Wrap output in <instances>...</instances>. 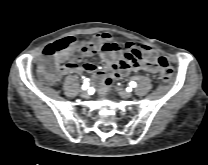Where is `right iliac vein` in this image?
Segmentation results:
<instances>
[{
    "mask_svg": "<svg viewBox=\"0 0 208 165\" xmlns=\"http://www.w3.org/2000/svg\"><path fill=\"white\" fill-rule=\"evenodd\" d=\"M88 95H89V93L86 90L81 92V96L84 97V98L88 97Z\"/></svg>",
    "mask_w": 208,
    "mask_h": 165,
    "instance_id": "1",
    "label": "right iliac vein"
}]
</instances>
